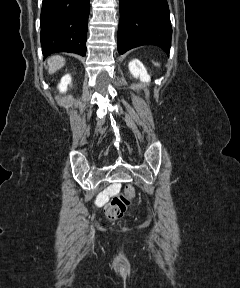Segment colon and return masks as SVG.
Listing matches in <instances>:
<instances>
[{"label": "colon", "instance_id": "obj_1", "mask_svg": "<svg viewBox=\"0 0 240 288\" xmlns=\"http://www.w3.org/2000/svg\"><path fill=\"white\" fill-rule=\"evenodd\" d=\"M136 192L132 186H127L123 193L115 196L105 207V216L109 220L120 219L132 200L135 198Z\"/></svg>", "mask_w": 240, "mask_h": 288}]
</instances>
